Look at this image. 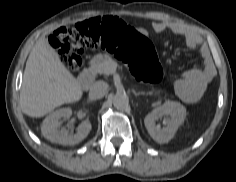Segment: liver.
<instances>
[{
	"instance_id": "6515ba94",
	"label": "liver",
	"mask_w": 236,
	"mask_h": 182,
	"mask_svg": "<svg viewBox=\"0 0 236 182\" xmlns=\"http://www.w3.org/2000/svg\"><path fill=\"white\" fill-rule=\"evenodd\" d=\"M81 82L60 61L45 37L36 42L26 62L20 106L30 117H43L55 108L81 99Z\"/></svg>"
}]
</instances>
